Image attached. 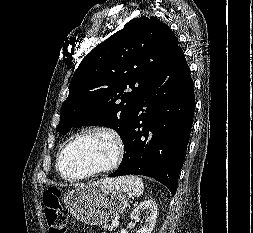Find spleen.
<instances>
[{"label": "spleen", "mask_w": 253, "mask_h": 233, "mask_svg": "<svg viewBox=\"0 0 253 233\" xmlns=\"http://www.w3.org/2000/svg\"><path fill=\"white\" fill-rule=\"evenodd\" d=\"M108 180L110 181V184L107 185L108 188L127 192L135 197H140L143 194V181L137 176L130 175Z\"/></svg>", "instance_id": "3e777b00"}]
</instances>
